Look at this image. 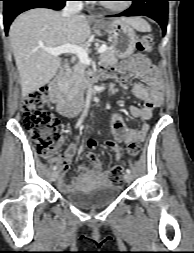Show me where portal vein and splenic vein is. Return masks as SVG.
I'll list each match as a JSON object with an SVG mask.
<instances>
[{
    "instance_id": "obj_1",
    "label": "portal vein and splenic vein",
    "mask_w": 194,
    "mask_h": 253,
    "mask_svg": "<svg viewBox=\"0 0 194 253\" xmlns=\"http://www.w3.org/2000/svg\"><path fill=\"white\" fill-rule=\"evenodd\" d=\"M107 45H102L98 48L97 53H103L107 50ZM43 50L46 51L47 53L52 54L53 56H59L64 53H72L77 55L78 59L80 62L90 65L91 59L88 56V53L86 52L85 49H83L80 46L73 45V44H65L56 48H47L43 47Z\"/></svg>"
}]
</instances>
